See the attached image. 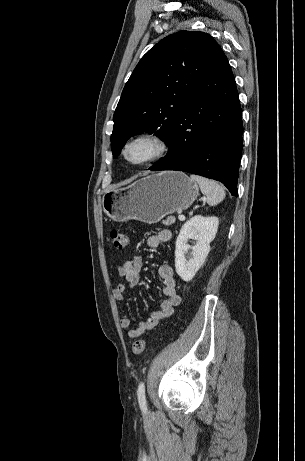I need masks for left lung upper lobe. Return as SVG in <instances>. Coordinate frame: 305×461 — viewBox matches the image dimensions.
I'll use <instances>...</instances> for the list:
<instances>
[{"label":"left lung upper lobe","mask_w":305,"mask_h":461,"mask_svg":"<svg viewBox=\"0 0 305 461\" xmlns=\"http://www.w3.org/2000/svg\"><path fill=\"white\" fill-rule=\"evenodd\" d=\"M222 53L207 33L179 31L159 41L139 61L114 113L113 158L141 132L168 142L173 124L190 93Z\"/></svg>","instance_id":"1"}]
</instances>
